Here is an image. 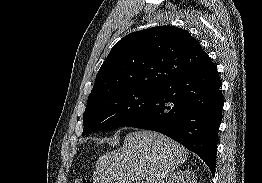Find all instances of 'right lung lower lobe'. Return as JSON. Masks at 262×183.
<instances>
[{
	"label": "right lung lower lobe",
	"mask_w": 262,
	"mask_h": 183,
	"mask_svg": "<svg viewBox=\"0 0 262 183\" xmlns=\"http://www.w3.org/2000/svg\"><path fill=\"white\" fill-rule=\"evenodd\" d=\"M221 86L217 67L210 61L160 85L151 104L126 127L173 138L202 158L214 175L224 105Z\"/></svg>",
	"instance_id": "1"
}]
</instances>
